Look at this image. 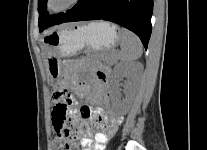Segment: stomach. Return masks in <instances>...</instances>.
<instances>
[{"mask_svg": "<svg viewBox=\"0 0 207 150\" xmlns=\"http://www.w3.org/2000/svg\"><path fill=\"white\" fill-rule=\"evenodd\" d=\"M118 40L117 26L106 21L67 24L46 32L42 44L52 80L58 84L62 79L64 64L61 58L76 56L85 47L93 54L112 51Z\"/></svg>", "mask_w": 207, "mask_h": 150, "instance_id": "stomach-1", "label": "stomach"}]
</instances>
